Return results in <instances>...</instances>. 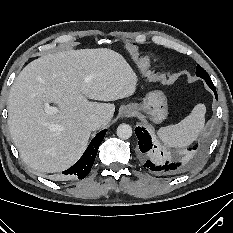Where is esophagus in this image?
I'll use <instances>...</instances> for the list:
<instances>
[{"instance_id": "1", "label": "esophagus", "mask_w": 233, "mask_h": 233, "mask_svg": "<svg viewBox=\"0 0 233 233\" xmlns=\"http://www.w3.org/2000/svg\"><path fill=\"white\" fill-rule=\"evenodd\" d=\"M134 113H135V110H134V109H127V110L125 111V115H126V116H132V115H134Z\"/></svg>"}]
</instances>
